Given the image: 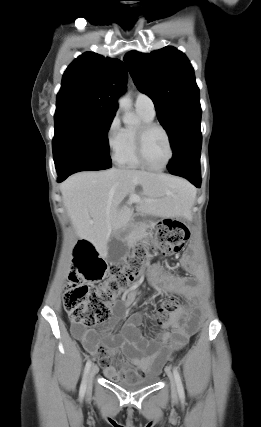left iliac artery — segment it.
Here are the masks:
<instances>
[{
  "instance_id": "left-iliac-artery-1",
  "label": "left iliac artery",
  "mask_w": 261,
  "mask_h": 427,
  "mask_svg": "<svg viewBox=\"0 0 261 427\" xmlns=\"http://www.w3.org/2000/svg\"><path fill=\"white\" fill-rule=\"evenodd\" d=\"M173 374H174V377H175V380H176L177 390H178L179 397L181 399H184L185 398L184 388H183V384H182V380H181L180 374H179V372H178V370H177L176 367L173 368Z\"/></svg>"
}]
</instances>
